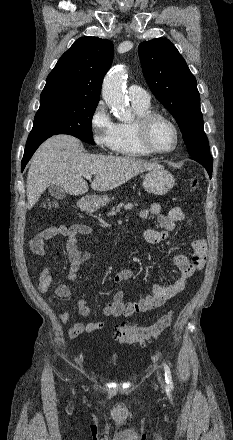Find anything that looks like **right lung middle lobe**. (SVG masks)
Returning <instances> with one entry per match:
<instances>
[{"mask_svg": "<svg viewBox=\"0 0 233 440\" xmlns=\"http://www.w3.org/2000/svg\"><path fill=\"white\" fill-rule=\"evenodd\" d=\"M98 101L52 99L40 103L31 136L69 134L95 144L92 137V117Z\"/></svg>", "mask_w": 233, "mask_h": 440, "instance_id": "obj_1", "label": "right lung middle lobe"}]
</instances>
